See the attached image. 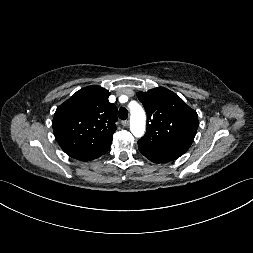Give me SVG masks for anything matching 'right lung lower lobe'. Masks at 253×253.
<instances>
[{
    "mask_svg": "<svg viewBox=\"0 0 253 253\" xmlns=\"http://www.w3.org/2000/svg\"><path fill=\"white\" fill-rule=\"evenodd\" d=\"M110 146H111V144H108V145L103 146L97 150L83 154L76 159L81 160V161H90V160L96 159V158L102 156L103 154H105L110 149Z\"/></svg>",
    "mask_w": 253,
    "mask_h": 253,
    "instance_id": "1",
    "label": "right lung lower lobe"
}]
</instances>
